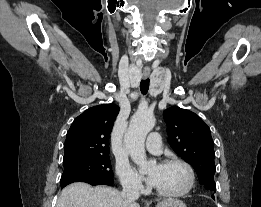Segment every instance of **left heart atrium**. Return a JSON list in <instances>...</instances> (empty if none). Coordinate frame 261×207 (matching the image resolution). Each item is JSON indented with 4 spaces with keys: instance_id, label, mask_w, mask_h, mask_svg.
I'll return each mask as SVG.
<instances>
[{
    "instance_id": "39dd6f15",
    "label": "left heart atrium",
    "mask_w": 261,
    "mask_h": 207,
    "mask_svg": "<svg viewBox=\"0 0 261 207\" xmlns=\"http://www.w3.org/2000/svg\"><path fill=\"white\" fill-rule=\"evenodd\" d=\"M148 180H149V182H150L151 184L154 185V183H155V175H150Z\"/></svg>"
}]
</instances>
